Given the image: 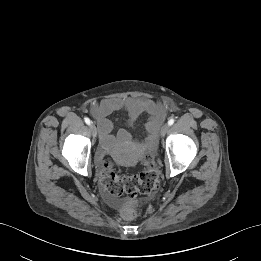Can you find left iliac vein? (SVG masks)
<instances>
[{
  "label": "left iliac vein",
  "mask_w": 261,
  "mask_h": 261,
  "mask_svg": "<svg viewBox=\"0 0 261 261\" xmlns=\"http://www.w3.org/2000/svg\"><path fill=\"white\" fill-rule=\"evenodd\" d=\"M169 128H170L169 124H167V123L164 124L160 131L161 136H165L168 133Z\"/></svg>",
  "instance_id": "left-iliac-vein-1"
}]
</instances>
